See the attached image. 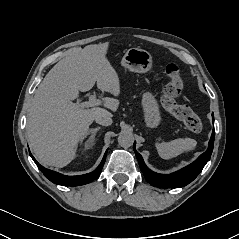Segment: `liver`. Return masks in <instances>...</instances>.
Returning <instances> with one entry per match:
<instances>
[{
  "instance_id": "obj_1",
  "label": "liver",
  "mask_w": 239,
  "mask_h": 239,
  "mask_svg": "<svg viewBox=\"0 0 239 239\" xmlns=\"http://www.w3.org/2000/svg\"><path fill=\"white\" fill-rule=\"evenodd\" d=\"M109 43L73 48L45 76L38 86L27 122L30 146L43 165L62 168L76 157L79 141L97 113L104 108H77L72 102L79 91L98 89L114 96L120 94L116 70L106 57ZM104 107L116 111L119 101L103 99Z\"/></svg>"
}]
</instances>
